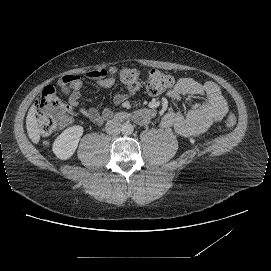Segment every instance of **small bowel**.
I'll list each match as a JSON object with an SVG mask.
<instances>
[{
  "mask_svg": "<svg viewBox=\"0 0 271 271\" xmlns=\"http://www.w3.org/2000/svg\"><path fill=\"white\" fill-rule=\"evenodd\" d=\"M117 69L112 67L108 70L98 69L86 73V77L95 81L102 88H110L115 83ZM59 85L64 88L65 95L71 106L79 105L82 77L77 74L65 75L60 79ZM136 90L127 86L126 92L114 96L116 105L123 104L135 94ZM184 95L190 96L187 108H170L160 120L163 128L174 129L178 134L190 137L199 136L221 122L228 110V105L223 97L219 86L207 81L200 83L192 78H181L174 87L167 92V97L174 102H180ZM81 114L95 125H101L112 116L109 108L97 110L95 108H81ZM154 112L142 109L136 113L139 123H148Z\"/></svg>",
  "mask_w": 271,
  "mask_h": 271,
  "instance_id": "c3829d8e",
  "label": "small bowel"
}]
</instances>
